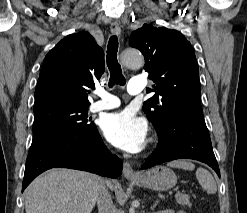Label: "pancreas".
Returning a JSON list of instances; mask_svg holds the SVG:
<instances>
[{
    "mask_svg": "<svg viewBox=\"0 0 247 213\" xmlns=\"http://www.w3.org/2000/svg\"><path fill=\"white\" fill-rule=\"evenodd\" d=\"M176 201H177V203H179L183 206L191 207V202H190L189 196L187 194H180V195L176 196Z\"/></svg>",
    "mask_w": 247,
    "mask_h": 213,
    "instance_id": "1",
    "label": "pancreas"
}]
</instances>
